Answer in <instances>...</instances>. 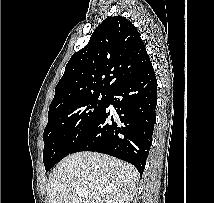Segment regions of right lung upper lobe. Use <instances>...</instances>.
Listing matches in <instances>:
<instances>
[{
  "label": "right lung upper lobe",
  "mask_w": 214,
  "mask_h": 203,
  "mask_svg": "<svg viewBox=\"0 0 214 203\" xmlns=\"http://www.w3.org/2000/svg\"><path fill=\"white\" fill-rule=\"evenodd\" d=\"M151 65L135 26L125 17H108L68 61L49 111L94 93H108Z\"/></svg>",
  "instance_id": "obj_1"
}]
</instances>
